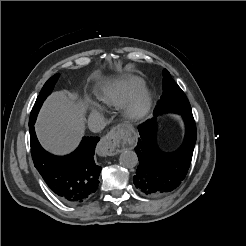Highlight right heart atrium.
<instances>
[{
    "label": "right heart atrium",
    "mask_w": 246,
    "mask_h": 246,
    "mask_svg": "<svg viewBox=\"0 0 246 246\" xmlns=\"http://www.w3.org/2000/svg\"><path fill=\"white\" fill-rule=\"evenodd\" d=\"M85 107L90 117H98L102 114L101 107L93 101H88Z\"/></svg>",
    "instance_id": "obj_1"
}]
</instances>
